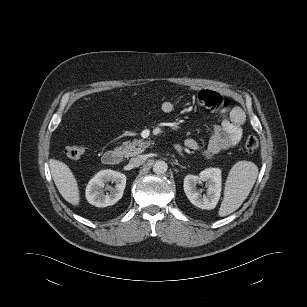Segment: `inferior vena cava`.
<instances>
[{"mask_svg":"<svg viewBox=\"0 0 307 307\" xmlns=\"http://www.w3.org/2000/svg\"><path fill=\"white\" fill-rule=\"evenodd\" d=\"M145 160H146V157L144 155H138L130 159L129 165L131 167H138L142 165L145 162Z\"/></svg>","mask_w":307,"mask_h":307,"instance_id":"obj_1","label":"inferior vena cava"}]
</instances>
